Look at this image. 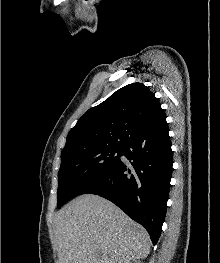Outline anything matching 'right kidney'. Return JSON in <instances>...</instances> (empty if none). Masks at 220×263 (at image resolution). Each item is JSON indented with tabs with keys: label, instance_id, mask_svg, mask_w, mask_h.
<instances>
[{
	"label": "right kidney",
	"instance_id": "right-kidney-1",
	"mask_svg": "<svg viewBox=\"0 0 220 263\" xmlns=\"http://www.w3.org/2000/svg\"><path fill=\"white\" fill-rule=\"evenodd\" d=\"M128 263H142L141 261L134 260L133 262H128Z\"/></svg>",
	"mask_w": 220,
	"mask_h": 263
}]
</instances>
